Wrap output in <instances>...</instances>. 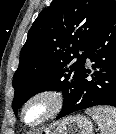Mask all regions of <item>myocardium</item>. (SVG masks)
I'll use <instances>...</instances> for the list:
<instances>
[{"label": "myocardium", "mask_w": 116, "mask_h": 134, "mask_svg": "<svg viewBox=\"0 0 116 134\" xmlns=\"http://www.w3.org/2000/svg\"><path fill=\"white\" fill-rule=\"evenodd\" d=\"M44 103L46 110L42 116L34 122L26 119L27 110L35 103ZM64 98L61 92L55 89H44L32 94L22 105L20 119L27 127H38L55 118L62 110Z\"/></svg>", "instance_id": "obj_1"}]
</instances>
